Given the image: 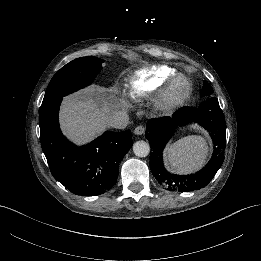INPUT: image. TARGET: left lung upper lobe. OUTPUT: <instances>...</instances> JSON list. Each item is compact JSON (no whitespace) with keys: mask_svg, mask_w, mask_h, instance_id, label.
Returning <instances> with one entry per match:
<instances>
[{"mask_svg":"<svg viewBox=\"0 0 261 261\" xmlns=\"http://www.w3.org/2000/svg\"><path fill=\"white\" fill-rule=\"evenodd\" d=\"M213 92L212 87L208 84V82L204 81L203 88L201 90V96H208L211 95Z\"/></svg>","mask_w":261,"mask_h":261,"instance_id":"1","label":"left lung upper lobe"}]
</instances>
